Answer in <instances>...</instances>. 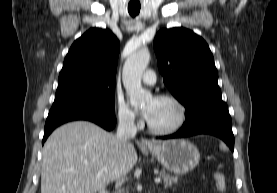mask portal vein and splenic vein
Segmentation results:
<instances>
[{"label": "portal vein and splenic vein", "instance_id": "1", "mask_svg": "<svg viewBox=\"0 0 277 193\" xmlns=\"http://www.w3.org/2000/svg\"><path fill=\"white\" fill-rule=\"evenodd\" d=\"M104 170H105V168H101V169H100L101 172L104 171ZM154 181H155V183H160V182H161V178H160V177H156V178L154 179Z\"/></svg>", "mask_w": 277, "mask_h": 193}]
</instances>
